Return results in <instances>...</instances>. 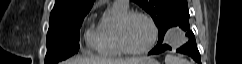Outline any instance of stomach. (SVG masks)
I'll list each match as a JSON object with an SVG mask.
<instances>
[{"instance_id":"1","label":"stomach","mask_w":242,"mask_h":64,"mask_svg":"<svg viewBox=\"0 0 242 64\" xmlns=\"http://www.w3.org/2000/svg\"><path fill=\"white\" fill-rule=\"evenodd\" d=\"M142 64H159V62L155 61L154 59H150L148 61H146L145 63Z\"/></svg>"}]
</instances>
